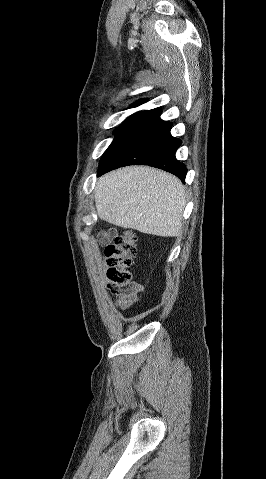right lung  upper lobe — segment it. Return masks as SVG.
Returning a JSON list of instances; mask_svg holds the SVG:
<instances>
[{"mask_svg": "<svg viewBox=\"0 0 266 479\" xmlns=\"http://www.w3.org/2000/svg\"><path fill=\"white\" fill-rule=\"evenodd\" d=\"M144 102H145V100H139V101L135 102L131 107H136V106H138V105H140ZM138 113H140V112H138Z\"/></svg>", "mask_w": 266, "mask_h": 479, "instance_id": "1", "label": "right lung upper lobe"}]
</instances>
